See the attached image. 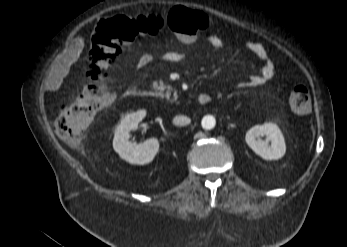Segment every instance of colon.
<instances>
[{
	"mask_svg": "<svg viewBox=\"0 0 347 247\" xmlns=\"http://www.w3.org/2000/svg\"><path fill=\"white\" fill-rule=\"evenodd\" d=\"M209 24L206 14L185 7H174L166 15L149 14L131 17L114 15L101 20L94 32L91 47L93 71L82 95L74 102L61 106L56 120V130L65 139L75 138L90 125L93 117L113 100L104 82L102 70L112 66L124 46L142 34L157 35L166 27L176 32L183 41H193ZM291 108L298 113L310 110L308 89L297 85L289 96Z\"/></svg>",
	"mask_w": 347,
	"mask_h": 247,
	"instance_id": "obj_1",
	"label": "colon"
}]
</instances>
